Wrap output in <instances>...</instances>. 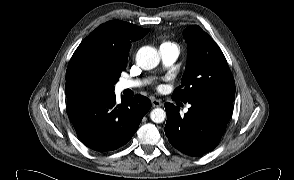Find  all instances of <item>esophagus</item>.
<instances>
[{
  "label": "esophagus",
  "instance_id": "34e87169",
  "mask_svg": "<svg viewBox=\"0 0 294 180\" xmlns=\"http://www.w3.org/2000/svg\"><path fill=\"white\" fill-rule=\"evenodd\" d=\"M151 103H152L153 107H160L162 105V102L160 100H157V99H152Z\"/></svg>",
  "mask_w": 294,
  "mask_h": 180
}]
</instances>
